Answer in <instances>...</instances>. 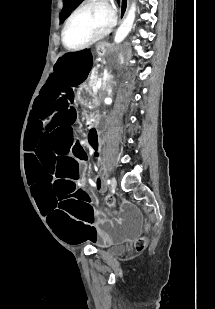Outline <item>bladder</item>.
Segmentation results:
<instances>
[{"label": "bladder", "instance_id": "bladder-1", "mask_svg": "<svg viewBox=\"0 0 215 309\" xmlns=\"http://www.w3.org/2000/svg\"><path fill=\"white\" fill-rule=\"evenodd\" d=\"M115 253H119V250H115Z\"/></svg>", "mask_w": 215, "mask_h": 309}]
</instances>
